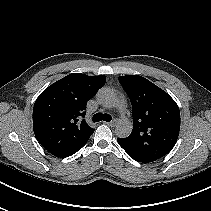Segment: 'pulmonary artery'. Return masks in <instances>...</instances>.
Masks as SVG:
<instances>
[{
  "label": "pulmonary artery",
  "mask_w": 211,
  "mask_h": 211,
  "mask_svg": "<svg viewBox=\"0 0 211 211\" xmlns=\"http://www.w3.org/2000/svg\"><path fill=\"white\" fill-rule=\"evenodd\" d=\"M120 108L122 110L125 108V102L123 100L120 102Z\"/></svg>",
  "instance_id": "e3ab8cb5"
}]
</instances>
